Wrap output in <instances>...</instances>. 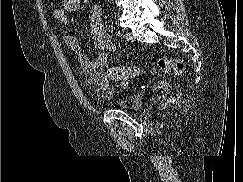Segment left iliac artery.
Listing matches in <instances>:
<instances>
[{
    "instance_id": "44dca946",
    "label": "left iliac artery",
    "mask_w": 243,
    "mask_h": 182,
    "mask_svg": "<svg viewBox=\"0 0 243 182\" xmlns=\"http://www.w3.org/2000/svg\"><path fill=\"white\" fill-rule=\"evenodd\" d=\"M116 35H117L118 37H124V35H123V33H122L121 31H117V32H116Z\"/></svg>"
}]
</instances>
